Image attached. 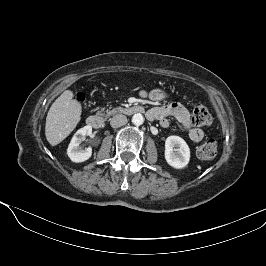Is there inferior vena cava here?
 <instances>
[{"label": "inferior vena cava", "instance_id": "602c4592", "mask_svg": "<svg viewBox=\"0 0 266 266\" xmlns=\"http://www.w3.org/2000/svg\"><path fill=\"white\" fill-rule=\"evenodd\" d=\"M127 123V117L122 114L115 115L110 119V125L113 128H118Z\"/></svg>", "mask_w": 266, "mask_h": 266}]
</instances>
